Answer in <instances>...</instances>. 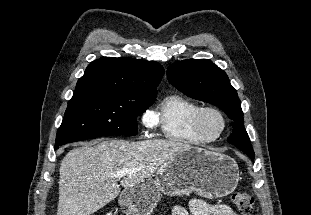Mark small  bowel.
I'll return each instance as SVG.
<instances>
[{
	"label": "small bowel",
	"mask_w": 311,
	"mask_h": 215,
	"mask_svg": "<svg viewBox=\"0 0 311 215\" xmlns=\"http://www.w3.org/2000/svg\"><path fill=\"white\" fill-rule=\"evenodd\" d=\"M172 215H238L226 204L210 205L202 200L193 199L189 202V208L178 205L172 210Z\"/></svg>",
	"instance_id": "c3829d8e"
}]
</instances>
